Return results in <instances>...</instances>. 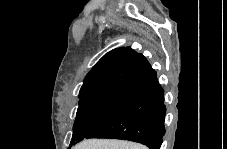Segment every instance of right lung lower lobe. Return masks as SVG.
<instances>
[{"instance_id":"right-lung-lower-lobe-1","label":"right lung lower lobe","mask_w":227,"mask_h":149,"mask_svg":"<svg viewBox=\"0 0 227 149\" xmlns=\"http://www.w3.org/2000/svg\"><path fill=\"white\" fill-rule=\"evenodd\" d=\"M165 114L164 90L154 77L141 84L122 108L87 138L130 140L160 149Z\"/></svg>"}]
</instances>
